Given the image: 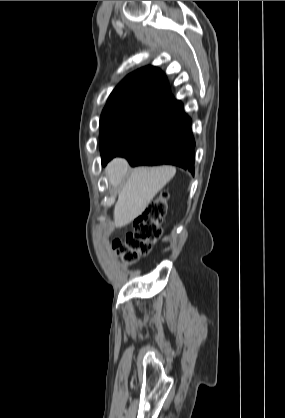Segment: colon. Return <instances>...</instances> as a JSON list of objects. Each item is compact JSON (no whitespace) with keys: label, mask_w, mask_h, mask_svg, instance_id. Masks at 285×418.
<instances>
[{"label":"colon","mask_w":285,"mask_h":418,"mask_svg":"<svg viewBox=\"0 0 285 418\" xmlns=\"http://www.w3.org/2000/svg\"><path fill=\"white\" fill-rule=\"evenodd\" d=\"M168 194L163 192L161 196L150 203L147 210L139 215L133 229L123 238H115L112 242L127 263H131L150 253L153 244L161 237L162 231L159 224L167 213Z\"/></svg>","instance_id":"colon-1"}]
</instances>
